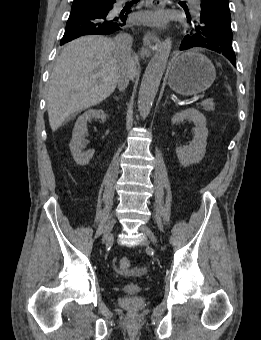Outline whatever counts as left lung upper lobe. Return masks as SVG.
Masks as SVG:
<instances>
[{"label":"left lung upper lobe","instance_id":"1","mask_svg":"<svg viewBox=\"0 0 261 340\" xmlns=\"http://www.w3.org/2000/svg\"><path fill=\"white\" fill-rule=\"evenodd\" d=\"M219 16L222 15L219 14ZM197 20L194 21L195 28L189 31L186 36H195L200 43V47H205L221 54L228 49H233L231 46L233 34L230 19L217 17L208 22H198Z\"/></svg>","mask_w":261,"mask_h":340}]
</instances>
